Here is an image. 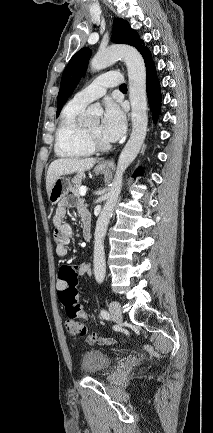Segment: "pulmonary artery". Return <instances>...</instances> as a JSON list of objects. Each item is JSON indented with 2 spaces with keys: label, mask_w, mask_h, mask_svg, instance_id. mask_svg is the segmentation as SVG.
Wrapping results in <instances>:
<instances>
[{
  "label": "pulmonary artery",
  "mask_w": 213,
  "mask_h": 433,
  "mask_svg": "<svg viewBox=\"0 0 213 433\" xmlns=\"http://www.w3.org/2000/svg\"><path fill=\"white\" fill-rule=\"evenodd\" d=\"M122 83L120 73L112 71L98 76L90 85L77 92L71 102L80 106H86L90 102L102 97L110 87Z\"/></svg>",
  "instance_id": "e3ab8cb5"
}]
</instances>
